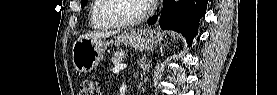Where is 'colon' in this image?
I'll return each instance as SVG.
<instances>
[{
	"mask_svg": "<svg viewBox=\"0 0 277 95\" xmlns=\"http://www.w3.org/2000/svg\"><path fill=\"white\" fill-rule=\"evenodd\" d=\"M80 94L81 95H98L99 86L98 84L90 79L82 80L80 84Z\"/></svg>",
	"mask_w": 277,
	"mask_h": 95,
	"instance_id": "obj_1",
	"label": "colon"
}]
</instances>
